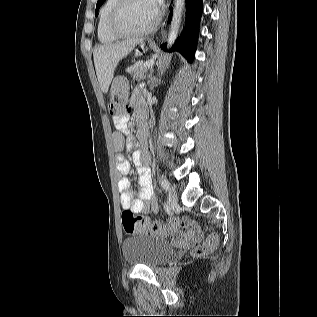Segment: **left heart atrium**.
<instances>
[{"label": "left heart atrium", "mask_w": 317, "mask_h": 317, "mask_svg": "<svg viewBox=\"0 0 317 317\" xmlns=\"http://www.w3.org/2000/svg\"><path fill=\"white\" fill-rule=\"evenodd\" d=\"M162 0H152V2L154 3V5L156 6V8L159 7V5L161 4Z\"/></svg>", "instance_id": "39dd6f15"}]
</instances>
